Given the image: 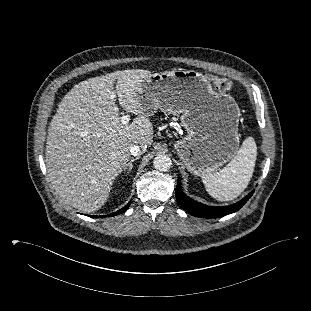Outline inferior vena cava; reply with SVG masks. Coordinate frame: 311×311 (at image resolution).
I'll list each match as a JSON object with an SVG mask.
<instances>
[{"label": "inferior vena cava", "instance_id": "1", "mask_svg": "<svg viewBox=\"0 0 311 311\" xmlns=\"http://www.w3.org/2000/svg\"><path fill=\"white\" fill-rule=\"evenodd\" d=\"M147 145L146 144H142V145H133L130 147V153L133 156H139L141 155L143 152L146 151Z\"/></svg>", "mask_w": 311, "mask_h": 311}]
</instances>
